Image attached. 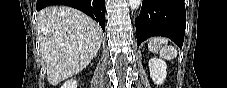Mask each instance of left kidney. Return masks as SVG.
<instances>
[{"label":"left kidney","mask_w":227,"mask_h":88,"mask_svg":"<svg viewBox=\"0 0 227 88\" xmlns=\"http://www.w3.org/2000/svg\"><path fill=\"white\" fill-rule=\"evenodd\" d=\"M149 69H150V77L156 84H163L166 75H167V65L166 63L157 58H151L149 60Z\"/></svg>","instance_id":"left-kidney-1"}]
</instances>
